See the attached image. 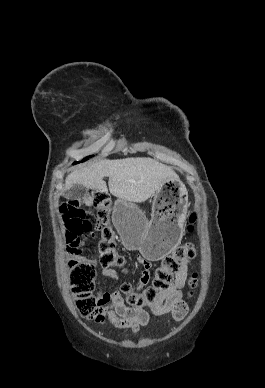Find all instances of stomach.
<instances>
[{"mask_svg":"<svg viewBox=\"0 0 265 388\" xmlns=\"http://www.w3.org/2000/svg\"><path fill=\"white\" fill-rule=\"evenodd\" d=\"M188 192L180 180L170 179L154 194L151 220L132 203L118 199L113 221L128 250H139L148 260L168 255L182 238L188 210Z\"/></svg>","mask_w":265,"mask_h":388,"instance_id":"1","label":"stomach"}]
</instances>
